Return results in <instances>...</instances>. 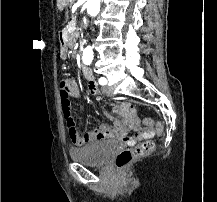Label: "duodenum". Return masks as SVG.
Instances as JSON below:
<instances>
[{
    "instance_id": "duodenum-1",
    "label": "duodenum",
    "mask_w": 217,
    "mask_h": 202,
    "mask_svg": "<svg viewBox=\"0 0 217 202\" xmlns=\"http://www.w3.org/2000/svg\"><path fill=\"white\" fill-rule=\"evenodd\" d=\"M59 42H60V45L62 47V50H64L65 46H66V36H65V34L63 32L60 33ZM83 74H84V77L87 79L88 82H93L94 81L93 72L88 67L83 68Z\"/></svg>"
}]
</instances>
